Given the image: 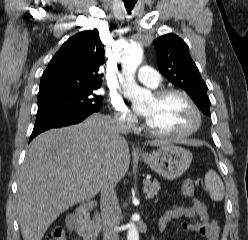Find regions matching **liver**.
Wrapping results in <instances>:
<instances>
[{
    "mask_svg": "<svg viewBox=\"0 0 248 240\" xmlns=\"http://www.w3.org/2000/svg\"><path fill=\"white\" fill-rule=\"evenodd\" d=\"M129 164L128 143L109 116L94 114L77 125L38 135L29 146L18 179L17 211L23 239L41 240L61 213L95 197L106 178L121 180Z\"/></svg>",
    "mask_w": 248,
    "mask_h": 240,
    "instance_id": "1",
    "label": "liver"
}]
</instances>
